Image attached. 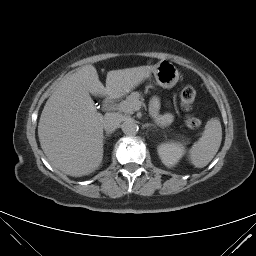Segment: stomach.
Returning <instances> with one entry per match:
<instances>
[{"instance_id": "0dacf381", "label": "stomach", "mask_w": 256, "mask_h": 256, "mask_svg": "<svg viewBox=\"0 0 256 256\" xmlns=\"http://www.w3.org/2000/svg\"><path fill=\"white\" fill-rule=\"evenodd\" d=\"M179 75L178 69L171 62L162 60L150 66V72L146 78L151 79V77H154L159 86L170 89L178 82Z\"/></svg>"}]
</instances>
